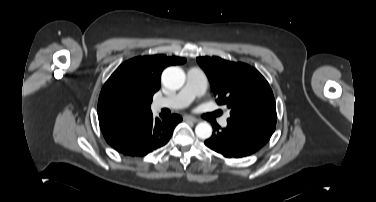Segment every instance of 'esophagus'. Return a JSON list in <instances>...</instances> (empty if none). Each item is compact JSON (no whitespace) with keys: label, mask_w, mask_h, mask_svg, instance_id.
<instances>
[{"label":"esophagus","mask_w":376,"mask_h":202,"mask_svg":"<svg viewBox=\"0 0 376 202\" xmlns=\"http://www.w3.org/2000/svg\"><path fill=\"white\" fill-rule=\"evenodd\" d=\"M185 119H186V120H189V121H191V122H194V123L199 122V120H198L197 118H195V117H193V116H189V115L186 116Z\"/></svg>","instance_id":"esophagus-1"}]
</instances>
